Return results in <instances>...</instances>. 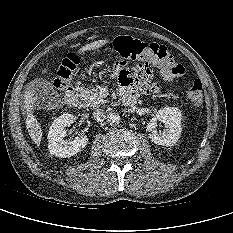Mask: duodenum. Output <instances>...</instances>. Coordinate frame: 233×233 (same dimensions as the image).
Returning <instances> with one entry per match:
<instances>
[{
    "label": "duodenum",
    "mask_w": 233,
    "mask_h": 233,
    "mask_svg": "<svg viewBox=\"0 0 233 233\" xmlns=\"http://www.w3.org/2000/svg\"><path fill=\"white\" fill-rule=\"evenodd\" d=\"M78 93L79 91L76 86H70L65 94V98H64L65 104L70 107L77 106L79 103ZM124 101L126 102V104L132 105L136 102V96L132 94H128L124 97Z\"/></svg>",
    "instance_id": "410a0bca"
}]
</instances>
